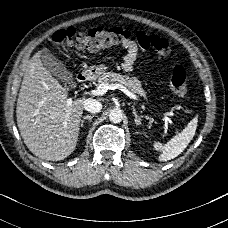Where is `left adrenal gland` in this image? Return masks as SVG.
<instances>
[{
  "label": "left adrenal gland",
  "mask_w": 228,
  "mask_h": 228,
  "mask_svg": "<svg viewBox=\"0 0 228 228\" xmlns=\"http://www.w3.org/2000/svg\"><path fill=\"white\" fill-rule=\"evenodd\" d=\"M132 109H133V115L135 116V123L137 124V125H139L140 124V122H141V118L137 115V111H136V109H135V107L132 105Z\"/></svg>",
  "instance_id": "obj_1"
}]
</instances>
